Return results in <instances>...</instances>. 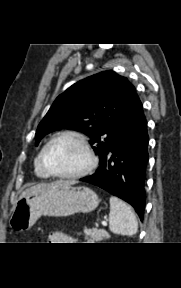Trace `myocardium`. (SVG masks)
Masks as SVG:
<instances>
[{
    "mask_svg": "<svg viewBox=\"0 0 181 288\" xmlns=\"http://www.w3.org/2000/svg\"><path fill=\"white\" fill-rule=\"evenodd\" d=\"M62 138H72L75 139L84 149L86 154V164L77 172L69 174H61L53 171L46 162V152L48 148L57 140ZM40 162L44 170L51 176L60 179H77L87 175L96 166V158L90 146L87 137L75 130H64L55 134L42 148L40 152Z\"/></svg>",
    "mask_w": 181,
    "mask_h": 288,
    "instance_id": "f54148a6",
    "label": "myocardium"
}]
</instances>
